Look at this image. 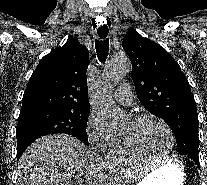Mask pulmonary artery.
Here are the masks:
<instances>
[{"instance_id":"pulmonary-artery-1","label":"pulmonary artery","mask_w":207,"mask_h":185,"mask_svg":"<svg viewBox=\"0 0 207 185\" xmlns=\"http://www.w3.org/2000/svg\"><path fill=\"white\" fill-rule=\"evenodd\" d=\"M129 91H132V86H118V89H116L114 96L118 102L122 104H130L132 98Z\"/></svg>"}]
</instances>
